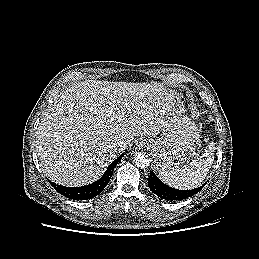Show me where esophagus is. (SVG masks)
Returning a JSON list of instances; mask_svg holds the SVG:
<instances>
[{
    "mask_svg": "<svg viewBox=\"0 0 259 259\" xmlns=\"http://www.w3.org/2000/svg\"><path fill=\"white\" fill-rule=\"evenodd\" d=\"M147 142L144 139H139L136 143L138 149H143L146 146Z\"/></svg>",
    "mask_w": 259,
    "mask_h": 259,
    "instance_id": "1",
    "label": "esophagus"
}]
</instances>
